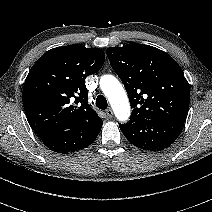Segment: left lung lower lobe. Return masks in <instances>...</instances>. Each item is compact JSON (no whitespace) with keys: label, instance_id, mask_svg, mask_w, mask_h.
I'll list each match as a JSON object with an SVG mask.
<instances>
[{"label":"left lung lower lobe","instance_id":"left-lung-lower-lobe-1","mask_svg":"<svg viewBox=\"0 0 212 212\" xmlns=\"http://www.w3.org/2000/svg\"><path fill=\"white\" fill-rule=\"evenodd\" d=\"M183 125L182 121L154 118L140 119L119 126L124 136L134 146L148 151H160L177 139Z\"/></svg>","mask_w":212,"mask_h":212}]
</instances>
